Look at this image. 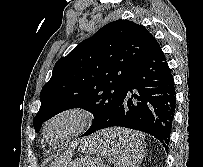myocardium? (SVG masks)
Here are the masks:
<instances>
[{
  "instance_id": "f54148a6",
  "label": "myocardium",
  "mask_w": 203,
  "mask_h": 167,
  "mask_svg": "<svg viewBox=\"0 0 203 167\" xmlns=\"http://www.w3.org/2000/svg\"><path fill=\"white\" fill-rule=\"evenodd\" d=\"M91 122L92 115L87 110L80 107L64 108L45 121L42 128L43 140L49 145L62 144L87 130ZM62 123L65 124V129L53 138V130Z\"/></svg>"
}]
</instances>
